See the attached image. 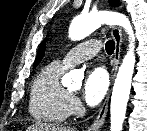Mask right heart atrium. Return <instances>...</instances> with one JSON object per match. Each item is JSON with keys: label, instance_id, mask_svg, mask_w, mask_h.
<instances>
[{"label": "right heart atrium", "instance_id": "right-heart-atrium-1", "mask_svg": "<svg viewBox=\"0 0 147 131\" xmlns=\"http://www.w3.org/2000/svg\"><path fill=\"white\" fill-rule=\"evenodd\" d=\"M81 105L76 97L71 96L68 106V111L70 115H74L80 112Z\"/></svg>", "mask_w": 147, "mask_h": 131}]
</instances>
